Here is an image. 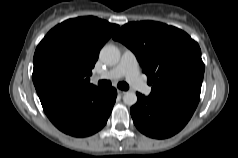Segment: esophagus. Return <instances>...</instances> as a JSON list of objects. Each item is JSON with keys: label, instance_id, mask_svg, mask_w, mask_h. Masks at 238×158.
<instances>
[{"label": "esophagus", "instance_id": "34e87169", "mask_svg": "<svg viewBox=\"0 0 238 158\" xmlns=\"http://www.w3.org/2000/svg\"><path fill=\"white\" fill-rule=\"evenodd\" d=\"M117 92H118L119 95H123V94L126 93V91H124V90H120V89H118Z\"/></svg>", "mask_w": 238, "mask_h": 158}]
</instances>
